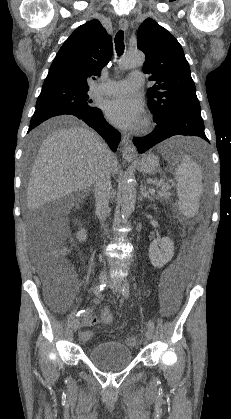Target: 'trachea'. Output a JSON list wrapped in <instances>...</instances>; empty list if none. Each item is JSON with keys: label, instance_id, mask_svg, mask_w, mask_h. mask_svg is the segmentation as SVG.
Segmentation results:
<instances>
[{"label": "trachea", "instance_id": "obj_1", "mask_svg": "<svg viewBox=\"0 0 231 419\" xmlns=\"http://www.w3.org/2000/svg\"><path fill=\"white\" fill-rule=\"evenodd\" d=\"M115 48L118 55H122L124 52V32L120 30L114 39Z\"/></svg>", "mask_w": 231, "mask_h": 419}]
</instances>
